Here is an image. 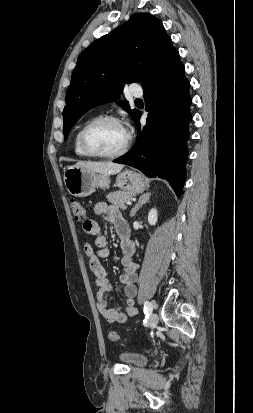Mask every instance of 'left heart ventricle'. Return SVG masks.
Wrapping results in <instances>:
<instances>
[{"instance_id":"left-heart-ventricle-1","label":"left heart ventricle","mask_w":253,"mask_h":413,"mask_svg":"<svg viewBox=\"0 0 253 413\" xmlns=\"http://www.w3.org/2000/svg\"><path fill=\"white\" fill-rule=\"evenodd\" d=\"M126 141L125 129L117 123L105 122L95 126L88 135L90 147L99 153H113Z\"/></svg>"}]
</instances>
